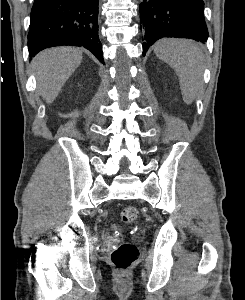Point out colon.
<instances>
[{
  "label": "colon",
  "instance_id": "obj_1",
  "mask_svg": "<svg viewBox=\"0 0 245 300\" xmlns=\"http://www.w3.org/2000/svg\"><path fill=\"white\" fill-rule=\"evenodd\" d=\"M137 217L138 210L134 206H127L120 212V220L125 224L134 222ZM138 255L137 247L126 237L112 252L111 262L118 271L125 272L134 265Z\"/></svg>",
  "mask_w": 245,
  "mask_h": 300
}]
</instances>
